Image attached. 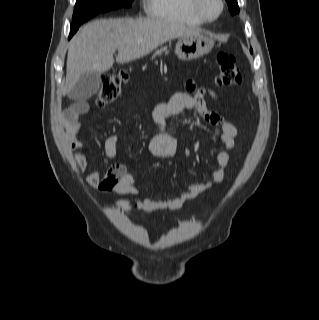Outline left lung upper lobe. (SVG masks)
Wrapping results in <instances>:
<instances>
[{
	"label": "left lung upper lobe",
	"mask_w": 319,
	"mask_h": 320,
	"mask_svg": "<svg viewBox=\"0 0 319 320\" xmlns=\"http://www.w3.org/2000/svg\"><path fill=\"white\" fill-rule=\"evenodd\" d=\"M226 1H227V4H228V8L230 10V13L232 15L238 14L239 13V7H238L237 0H226ZM250 51L252 52V49Z\"/></svg>",
	"instance_id": "1"
}]
</instances>
